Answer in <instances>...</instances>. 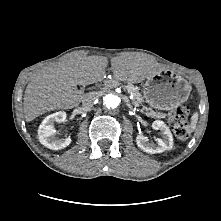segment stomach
<instances>
[{
	"instance_id": "obj_1",
	"label": "stomach",
	"mask_w": 221,
	"mask_h": 221,
	"mask_svg": "<svg viewBox=\"0 0 221 221\" xmlns=\"http://www.w3.org/2000/svg\"><path fill=\"white\" fill-rule=\"evenodd\" d=\"M190 89V84L180 74L158 70L146 78L143 95L151 107L170 110L188 99Z\"/></svg>"
}]
</instances>
